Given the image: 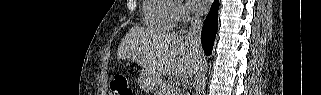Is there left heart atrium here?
Here are the masks:
<instances>
[{"label": "left heart atrium", "instance_id": "obj_1", "mask_svg": "<svg viewBox=\"0 0 321 95\" xmlns=\"http://www.w3.org/2000/svg\"><path fill=\"white\" fill-rule=\"evenodd\" d=\"M194 9L198 12H202L209 7V0H191Z\"/></svg>", "mask_w": 321, "mask_h": 95}]
</instances>
